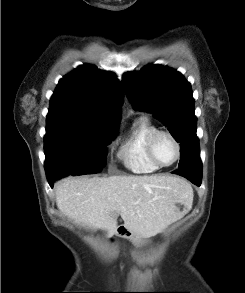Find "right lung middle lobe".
Wrapping results in <instances>:
<instances>
[{
	"mask_svg": "<svg viewBox=\"0 0 245 293\" xmlns=\"http://www.w3.org/2000/svg\"><path fill=\"white\" fill-rule=\"evenodd\" d=\"M115 134L116 127L47 119L44 137L47 179L100 172L106 164L105 147Z\"/></svg>",
	"mask_w": 245,
	"mask_h": 293,
	"instance_id": "obj_1",
	"label": "right lung middle lobe"
}]
</instances>
